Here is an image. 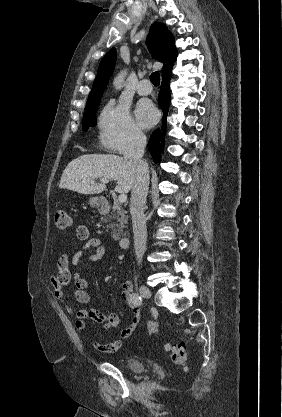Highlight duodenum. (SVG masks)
Returning a JSON list of instances; mask_svg holds the SVG:
<instances>
[{"label":"duodenum","instance_id":"obj_1","mask_svg":"<svg viewBox=\"0 0 282 417\" xmlns=\"http://www.w3.org/2000/svg\"><path fill=\"white\" fill-rule=\"evenodd\" d=\"M109 210L108 204L107 203H103L102 207H101V212L103 213H107ZM130 241V237L128 235H124L120 238L119 243H120V247L122 249H126L128 247Z\"/></svg>","mask_w":282,"mask_h":417}]
</instances>
